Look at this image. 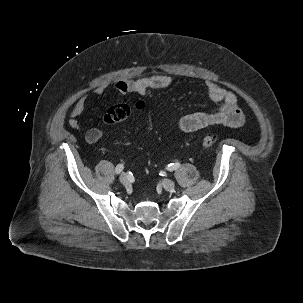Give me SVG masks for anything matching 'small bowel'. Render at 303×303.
<instances>
[{"label":"small bowel","mask_w":303,"mask_h":303,"mask_svg":"<svg viewBox=\"0 0 303 303\" xmlns=\"http://www.w3.org/2000/svg\"><path fill=\"white\" fill-rule=\"evenodd\" d=\"M172 79L164 74H152L145 77L118 80L114 84L115 90L121 95L128 93L146 95L153 90L164 89L171 85ZM206 92L214 107L210 110L197 111L181 117L178 128L185 133L196 132L212 125H223L231 128H239L244 125L245 117L238 105V99L234 92L227 91L218 84L206 81ZM104 87L96 88L93 93L101 95ZM88 95H82L76 101L70 111L68 125L72 129L80 130L79 117L85 111ZM103 137V131L97 128L90 129L85 134V140L89 144L96 143Z\"/></svg>","instance_id":"c3829d8e"}]
</instances>
